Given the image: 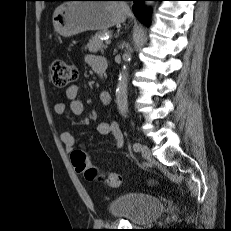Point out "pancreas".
Here are the masks:
<instances>
[{"mask_svg": "<svg viewBox=\"0 0 231 231\" xmlns=\"http://www.w3.org/2000/svg\"><path fill=\"white\" fill-rule=\"evenodd\" d=\"M105 34V31L96 33L94 36H92L84 49H88L92 53H96L98 51L103 52V49L106 48V45L103 44V41L100 39V37L104 36Z\"/></svg>", "mask_w": 231, "mask_h": 231, "instance_id": "cf45deb5", "label": "pancreas"}]
</instances>
